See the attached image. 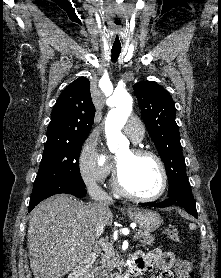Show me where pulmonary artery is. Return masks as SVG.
Instances as JSON below:
<instances>
[{"label": "pulmonary artery", "instance_id": "e3ab8cb5", "mask_svg": "<svg viewBox=\"0 0 221 278\" xmlns=\"http://www.w3.org/2000/svg\"><path fill=\"white\" fill-rule=\"evenodd\" d=\"M127 136L135 143L142 141L144 138V126L139 121L129 120L124 126Z\"/></svg>", "mask_w": 221, "mask_h": 278}]
</instances>
